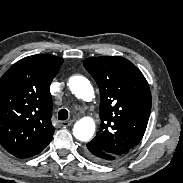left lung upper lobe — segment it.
Here are the masks:
<instances>
[{"label": "left lung upper lobe", "mask_w": 183, "mask_h": 183, "mask_svg": "<svg viewBox=\"0 0 183 183\" xmlns=\"http://www.w3.org/2000/svg\"><path fill=\"white\" fill-rule=\"evenodd\" d=\"M83 65L100 90V129L89 143L123 156L145 133L151 111L148 83L133 63L120 56L91 57Z\"/></svg>", "instance_id": "1"}]
</instances>
